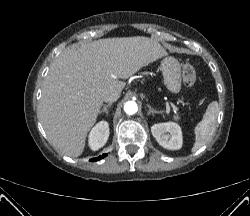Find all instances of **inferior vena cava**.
I'll return each instance as SVG.
<instances>
[{"label": "inferior vena cava", "mask_w": 250, "mask_h": 216, "mask_svg": "<svg viewBox=\"0 0 250 216\" xmlns=\"http://www.w3.org/2000/svg\"><path fill=\"white\" fill-rule=\"evenodd\" d=\"M121 91L117 89H109L106 92L103 93L102 99L105 102L113 103L117 101V99L120 97Z\"/></svg>", "instance_id": "inferior-vena-cava-1"}]
</instances>
